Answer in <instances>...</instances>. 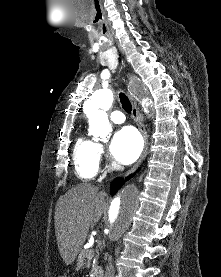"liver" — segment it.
I'll return each instance as SVG.
<instances>
[{
  "label": "liver",
  "instance_id": "1",
  "mask_svg": "<svg viewBox=\"0 0 221 277\" xmlns=\"http://www.w3.org/2000/svg\"><path fill=\"white\" fill-rule=\"evenodd\" d=\"M106 193L91 184H79L61 196L55 211V234L59 253L66 264L74 262L90 227L101 218Z\"/></svg>",
  "mask_w": 221,
  "mask_h": 277
}]
</instances>
